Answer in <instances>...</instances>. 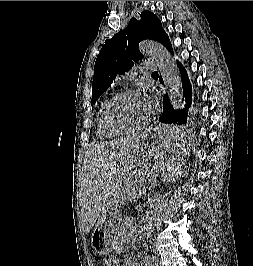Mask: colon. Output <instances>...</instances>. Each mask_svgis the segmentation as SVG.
Returning <instances> with one entry per match:
<instances>
[{
  "label": "colon",
  "instance_id": "colon-1",
  "mask_svg": "<svg viewBox=\"0 0 253 266\" xmlns=\"http://www.w3.org/2000/svg\"><path fill=\"white\" fill-rule=\"evenodd\" d=\"M107 266H113V263H106Z\"/></svg>",
  "mask_w": 253,
  "mask_h": 266
}]
</instances>
